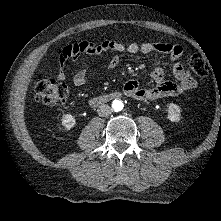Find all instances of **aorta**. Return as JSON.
<instances>
[{
    "instance_id": "762f6f07",
    "label": "aorta",
    "mask_w": 221,
    "mask_h": 221,
    "mask_svg": "<svg viewBox=\"0 0 221 221\" xmlns=\"http://www.w3.org/2000/svg\"><path fill=\"white\" fill-rule=\"evenodd\" d=\"M112 107L115 111H121L124 106L121 100H114L112 103Z\"/></svg>"
}]
</instances>
